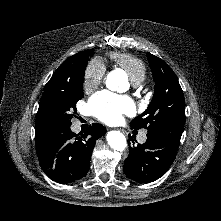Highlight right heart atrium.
Masks as SVG:
<instances>
[{"instance_id":"d8ad5b80","label":"right heart atrium","mask_w":221,"mask_h":221,"mask_svg":"<svg viewBox=\"0 0 221 221\" xmlns=\"http://www.w3.org/2000/svg\"><path fill=\"white\" fill-rule=\"evenodd\" d=\"M105 65L97 58L88 62L83 73V88L85 91L90 92L97 88L105 77Z\"/></svg>"}]
</instances>
